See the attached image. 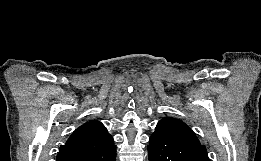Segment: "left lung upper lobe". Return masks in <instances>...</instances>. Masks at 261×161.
<instances>
[{
  "mask_svg": "<svg viewBox=\"0 0 261 161\" xmlns=\"http://www.w3.org/2000/svg\"><path fill=\"white\" fill-rule=\"evenodd\" d=\"M154 135L186 145H201L192 130L182 121L174 118H163L156 126Z\"/></svg>",
  "mask_w": 261,
  "mask_h": 161,
  "instance_id": "obj_1",
  "label": "left lung upper lobe"
}]
</instances>
